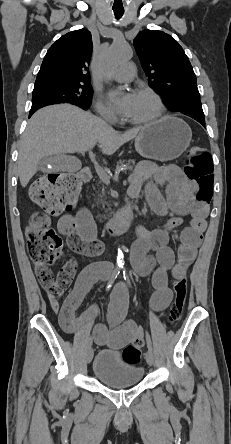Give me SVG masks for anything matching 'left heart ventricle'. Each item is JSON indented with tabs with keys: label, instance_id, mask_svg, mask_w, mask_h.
<instances>
[{
	"label": "left heart ventricle",
	"instance_id": "obj_1",
	"mask_svg": "<svg viewBox=\"0 0 231 444\" xmlns=\"http://www.w3.org/2000/svg\"><path fill=\"white\" fill-rule=\"evenodd\" d=\"M157 113V104L155 100L147 94H135V99L128 119L142 120L149 118Z\"/></svg>",
	"mask_w": 231,
	"mask_h": 444
}]
</instances>
